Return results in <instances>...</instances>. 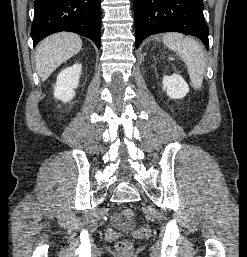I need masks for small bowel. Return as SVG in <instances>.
<instances>
[{"instance_id": "small-bowel-1", "label": "small bowel", "mask_w": 247, "mask_h": 257, "mask_svg": "<svg viewBox=\"0 0 247 257\" xmlns=\"http://www.w3.org/2000/svg\"><path fill=\"white\" fill-rule=\"evenodd\" d=\"M113 224L119 229H125V223L119 214H114L112 217Z\"/></svg>"}]
</instances>
